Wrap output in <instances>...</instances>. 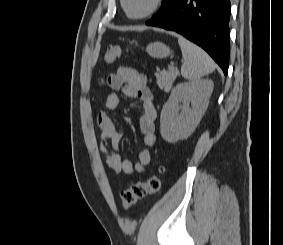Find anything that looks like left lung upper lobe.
<instances>
[{
	"mask_svg": "<svg viewBox=\"0 0 283 245\" xmlns=\"http://www.w3.org/2000/svg\"><path fill=\"white\" fill-rule=\"evenodd\" d=\"M172 2L173 0H163L160 10L155 15L162 13Z\"/></svg>",
	"mask_w": 283,
	"mask_h": 245,
	"instance_id": "5c2ea615",
	"label": "left lung upper lobe"
}]
</instances>
